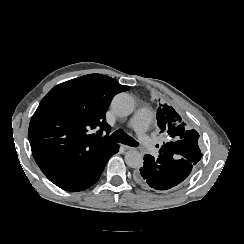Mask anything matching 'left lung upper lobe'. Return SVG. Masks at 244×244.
I'll return each instance as SVG.
<instances>
[{
  "mask_svg": "<svg viewBox=\"0 0 244 244\" xmlns=\"http://www.w3.org/2000/svg\"><path fill=\"white\" fill-rule=\"evenodd\" d=\"M157 123L161 132L166 131L170 136V140L161 146L160 154L172 153L177 159L197 164L202 157L198 144L199 134L186 126L172 106L167 104L159 106Z\"/></svg>",
  "mask_w": 244,
  "mask_h": 244,
  "instance_id": "obj_1",
  "label": "left lung upper lobe"
}]
</instances>
